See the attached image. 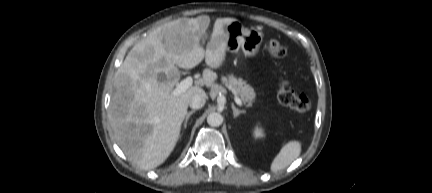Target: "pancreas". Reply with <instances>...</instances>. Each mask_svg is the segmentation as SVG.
<instances>
[{"label": "pancreas", "mask_w": 432, "mask_h": 193, "mask_svg": "<svg viewBox=\"0 0 432 193\" xmlns=\"http://www.w3.org/2000/svg\"><path fill=\"white\" fill-rule=\"evenodd\" d=\"M222 83L230 90H233L234 93L240 97V99L247 105V107H251L253 102L255 101L256 94L254 89L248 85L241 78H236L233 75L222 76Z\"/></svg>", "instance_id": "pancreas-1"}]
</instances>
